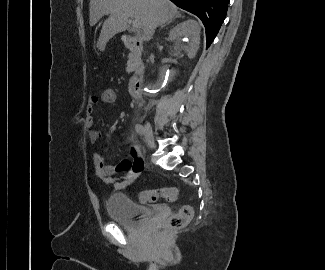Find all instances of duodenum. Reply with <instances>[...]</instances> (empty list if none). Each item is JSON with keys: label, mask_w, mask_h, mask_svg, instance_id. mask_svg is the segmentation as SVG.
Returning <instances> with one entry per match:
<instances>
[{"label": "duodenum", "mask_w": 325, "mask_h": 270, "mask_svg": "<svg viewBox=\"0 0 325 270\" xmlns=\"http://www.w3.org/2000/svg\"><path fill=\"white\" fill-rule=\"evenodd\" d=\"M124 39H125L128 49L130 51V61L133 64H137L141 55H142V52H143L142 43L132 35H125ZM130 90H131L132 95L135 98H137V99L141 98L142 74L139 70H137L135 72V74L133 75V77L131 79Z\"/></svg>", "instance_id": "obj_1"}]
</instances>
